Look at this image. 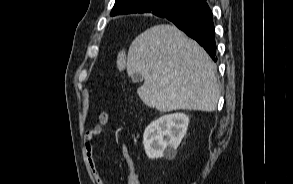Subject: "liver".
I'll return each instance as SVG.
<instances>
[{
	"mask_svg": "<svg viewBox=\"0 0 293 184\" xmlns=\"http://www.w3.org/2000/svg\"><path fill=\"white\" fill-rule=\"evenodd\" d=\"M127 73H140V99L160 112H212L219 99L216 68L206 51L174 25H155L129 47Z\"/></svg>",
	"mask_w": 293,
	"mask_h": 184,
	"instance_id": "6515ba94",
	"label": "liver"
}]
</instances>
